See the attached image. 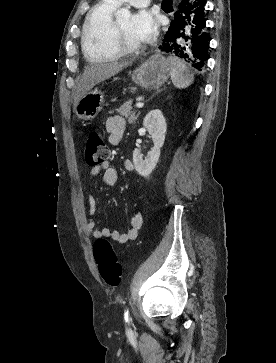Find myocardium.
<instances>
[{
	"label": "myocardium",
	"mask_w": 276,
	"mask_h": 363,
	"mask_svg": "<svg viewBox=\"0 0 276 363\" xmlns=\"http://www.w3.org/2000/svg\"><path fill=\"white\" fill-rule=\"evenodd\" d=\"M111 41L114 49L119 53V55L138 54L146 47L145 44H141L138 46L126 45L122 39L121 29L119 21L117 19L114 20L111 28Z\"/></svg>",
	"instance_id": "f54148a6"
}]
</instances>
